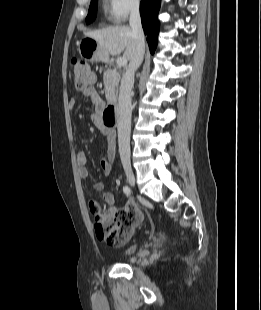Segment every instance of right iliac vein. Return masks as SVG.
<instances>
[{
  "mask_svg": "<svg viewBox=\"0 0 261 310\" xmlns=\"http://www.w3.org/2000/svg\"><path fill=\"white\" fill-rule=\"evenodd\" d=\"M126 173V177H127V181L131 186H135L136 180H135V176L132 172L131 169H126L125 171Z\"/></svg>",
  "mask_w": 261,
  "mask_h": 310,
  "instance_id": "1",
  "label": "right iliac vein"
}]
</instances>
